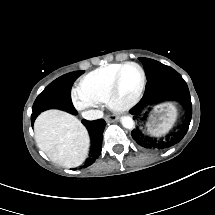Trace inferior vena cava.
<instances>
[{
    "instance_id": "inferior-vena-cava-1",
    "label": "inferior vena cava",
    "mask_w": 215,
    "mask_h": 215,
    "mask_svg": "<svg viewBox=\"0 0 215 215\" xmlns=\"http://www.w3.org/2000/svg\"><path fill=\"white\" fill-rule=\"evenodd\" d=\"M82 117L86 120H96L103 117V111L100 109H90L82 112Z\"/></svg>"
}]
</instances>
